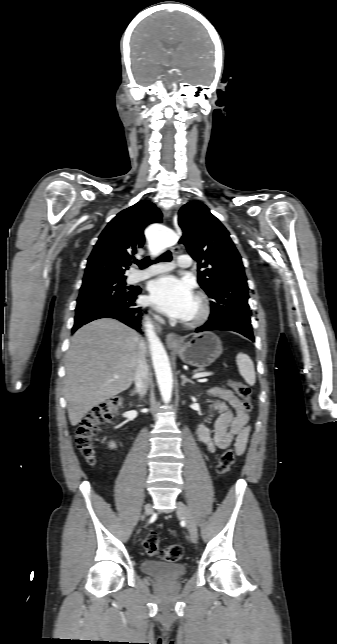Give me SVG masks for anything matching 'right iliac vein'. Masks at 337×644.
I'll return each mask as SVG.
<instances>
[{
	"label": "right iliac vein",
	"mask_w": 337,
	"mask_h": 644,
	"mask_svg": "<svg viewBox=\"0 0 337 644\" xmlns=\"http://www.w3.org/2000/svg\"><path fill=\"white\" fill-rule=\"evenodd\" d=\"M145 511L147 515H150L152 513V507L150 504L146 506Z\"/></svg>",
	"instance_id": "1"
}]
</instances>
